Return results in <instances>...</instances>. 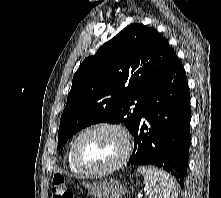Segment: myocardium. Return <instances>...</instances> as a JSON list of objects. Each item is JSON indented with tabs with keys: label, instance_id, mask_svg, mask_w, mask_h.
<instances>
[{
	"label": "myocardium",
	"instance_id": "myocardium-1",
	"mask_svg": "<svg viewBox=\"0 0 221 198\" xmlns=\"http://www.w3.org/2000/svg\"><path fill=\"white\" fill-rule=\"evenodd\" d=\"M96 129H109V130L115 131L121 137L123 141V150L119 158L114 163L103 168L93 169V168L84 166L80 162L78 158V154H77V145H78L79 140L85 134ZM131 150H132L131 138L129 134L127 133V131L122 126L116 123H112V122H97L81 130L73 139L72 144H71V157H72V161L74 165L81 173L92 175V176H100V175H105V174L114 172L118 170L119 168H121L129 159Z\"/></svg>",
	"mask_w": 221,
	"mask_h": 198
}]
</instances>
